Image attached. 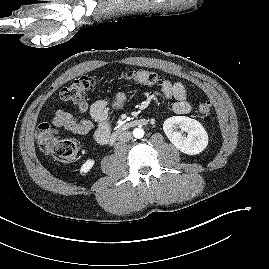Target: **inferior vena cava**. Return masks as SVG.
I'll return each mask as SVG.
<instances>
[{
	"mask_svg": "<svg viewBox=\"0 0 269 269\" xmlns=\"http://www.w3.org/2000/svg\"><path fill=\"white\" fill-rule=\"evenodd\" d=\"M131 139V132L129 131H124L122 133H120L118 140L120 143H124L127 142Z\"/></svg>",
	"mask_w": 269,
	"mask_h": 269,
	"instance_id": "inferior-vena-cava-1",
	"label": "inferior vena cava"
}]
</instances>
